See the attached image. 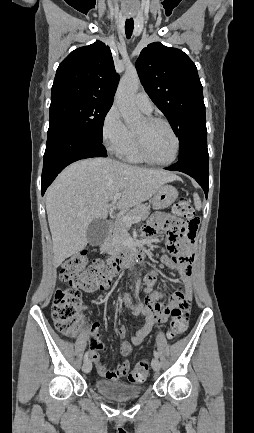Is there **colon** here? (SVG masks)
I'll list each match as a JSON object with an SVG mask.
<instances>
[{
    "mask_svg": "<svg viewBox=\"0 0 254 433\" xmlns=\"http://www.w3.org/2000/svg\"><path fill=\"white\" fill-rule=\"evenodd\" d=\"M167 219L179 227L168 229V241L172 250H182L181 242L195 243L200 220L187 196H182L172 207ZM87 251H80L67 258L61 266V280L66 288H59L53 299L51 315L56 329L66 336H74L80 329L82 292L92 293L110 280L108 263L97 259L89 264ZM190 300L180 298L170 309L171 320L167 330L169 339H176L188 327ZM150 370L148 360L139 362L129 375L131 382H143Z\"/></svg>",
    "mask_w": 254,
    "mask_h": 433,
    "instance_id": "obj_1",
    "label": "colon"
}]
</instances>
